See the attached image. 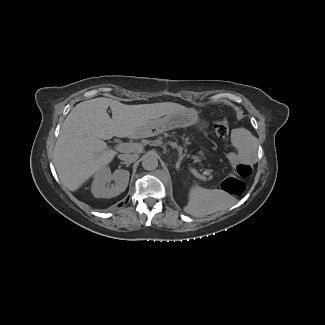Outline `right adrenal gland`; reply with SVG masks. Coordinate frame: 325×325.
<instances>
[{
    "label": "right adrenal gland",
    "mask_w": 325,
    "mask_h": 325,
    "mask_svg": "<svg viewBox=\"0 0 325 325\" xmlns=\"http://www.w3.org/2000/svg\"><path fill=\"white\" fill-rule=\"evenodd\" d=\"M121 165H126V167H129L130 164L126 162H121L119 168L121 167Z\"/></svg>",
    "instance_id": "right-adrenal-gland-1"
}]
</instances>
